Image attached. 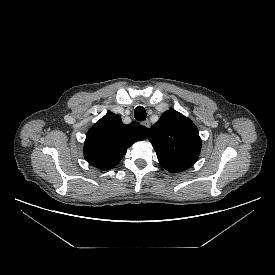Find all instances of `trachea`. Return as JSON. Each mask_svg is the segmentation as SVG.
<instances>
[{"label":"trachea","mask_w":275,"mask_h":275,"mask_svg":"<svg viewBox=\"0 0 275 275\" xmlns=\"http://www.w3.org/2000/svg\"><path fill=\"white\" fill-rule=\"evenodd\" d=\"M134 117L138 121H144L147 117L146 110L143 106H137L134 110Z\"/></svg>","instance_id":"3493384b"}]
</instances>
